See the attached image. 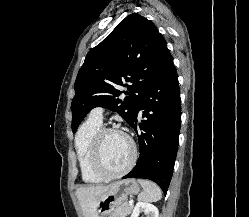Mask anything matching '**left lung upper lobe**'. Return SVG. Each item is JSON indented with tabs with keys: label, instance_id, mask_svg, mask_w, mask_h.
Instances as JSON below:
<instances>
[{
	"label": "left lung upper lobe",
	"instance_id": "1",
	"mask_svg": "<svg viewBox=\"0 0 249 217\" xmlns=\"http://www.w3.org/2000/svg\"><path fill=\"white\" fill-rule=\"evenodd\" d=\"M170 55L155 25L135 13L128 15L96 47L80 68L71 104L72 130L76 132L86 114L95 107L117 112L128 124L137 104ZM127 81L128 91L118 86ZM124 93L125 100L118 97Z\"/></svg>",
	"mask_w": 249,
	"mask_h": 217
}]
</instances>
